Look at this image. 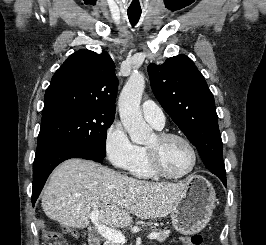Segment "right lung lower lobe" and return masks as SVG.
<instances>
[{"label":"right lung lower lobe","instance_id":"right-lung-lower-lobe-1","mask_svg":"<svg viewBox=\"0 0 266 245\" xmlns=\"http://www.w3.org/2000/svg\"><path fill=\"white\" fill-rule=\"evenodd\" d=\"M70 158H83L102 163L104 157L91 150L69 144H56L37 151L33 164V207L52 170Z\"/></svg>","mask_w":266,"mask_h":245}]
</instances>
